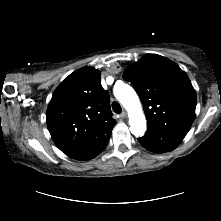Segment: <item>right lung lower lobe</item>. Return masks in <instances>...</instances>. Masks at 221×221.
<instances>
[{
  "label": "right lung lower lobe",
  "mask_w": 221,
  "mask_h": 221,
  "mask_svg": "<svg viewBox=\"0 0 221 221\" xmlns=\"http://www.w3.org/2000/svg\"><path fill=\"white\" fill-rule=\"evenodd\" d=\"M108 143V142H107ZM107 143L105 144V145H103L97 152H96V154L92 157V158H94L95 156H97L98 154H100L104 149H105V147L107 146ZM91 158V159H92Z\"/></svg>",
  "instance_id": "right-lung-lower-lobe-1"
}]
</instances>
